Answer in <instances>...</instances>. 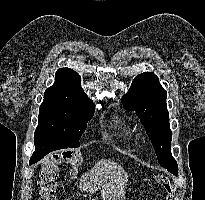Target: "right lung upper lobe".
<instances>
[{
	"instance_id": "1",
	"label": "right lung upper lobe",
	"mask_w": 205,
	"mask_h": 200,
	"mask_svg": "<svg viewBox=\"0 0 205 200\" xmlns=\"http://www.w3.org/2000/svg\"><path fill=\"white\" fill-rule=\"evenodd\" d=\"M54 85L68 87L86 95L81 87L80 75L70 68H61L57 70Z\"/></svg>"
}]
</instances>
